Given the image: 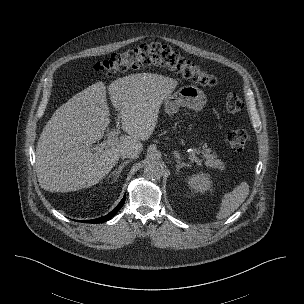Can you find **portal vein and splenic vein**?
Instances as JSON below:
<instances>
[{"label": "portal vein and splenic vein", "instance_id": "1", "mask_svg": "<svg viewBox=\"0 0 304 304\" xmlns=\"http://www.w3.org/2000/svg\"><path fill=\"white\" fill-rule=\"evenodd\" d=\"M119 133H120V125H119V121H117L116 127L107 134V136H108L107 140L103 141L101 144L96 146L95 150H101L103 148L111 147V146L115 145L118 141ZM192 160L195 161L196 163H200V160L195 155H192Z\"/></svg>", "mask_w": 304, "mask_h": 304}]
</instances>
